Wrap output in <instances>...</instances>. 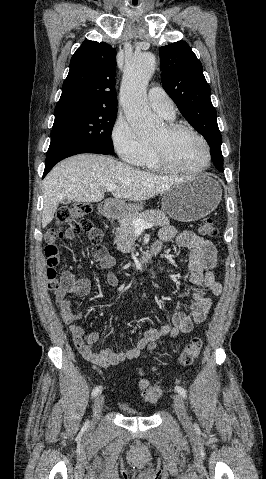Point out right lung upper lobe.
Masks as SVG:
<instances>
[{
	"mask_svg": "<svg viewBox=\"0 0 266 479\" xmlns=\"http://www.w3.org/2000/svg\"><path fill=\"white\" fill-rule=\"evenodd\" d=\"M116 50L105 42L86 40L70 61L55 114L82 110H117Z\"/></svg>",
	"mask_w": 266,
	"mask_h": 479,
	"instance_id": "right-lung-upper-lobe-1",
	"label": "right lung upper lobe"
}]
</instances>
